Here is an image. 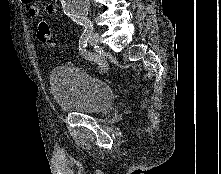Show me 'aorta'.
Returning a JSON list of instances; mask_svg holds the SVG:
<instances>
[{
  "label": "aorta",
  "mask_w": 221,
  "mask_h": 174,
  "mask_svg": "<svg viewBox=\"0 0 221 174\" xmlns=\"http://www.w3.org/2000/svg\"><path fill=\"white\" fill-rule=\"evenodd\" d=\"M89 1L90 0H61L65 14L77 21H85L87 19Z\"/></svg>",
  "instance_id": "obj_1"
}]
</instances>
